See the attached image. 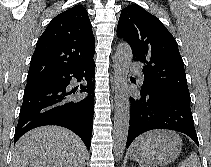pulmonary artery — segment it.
<instances>
[{
	"label": "pulmonary artery",
	"instance_id": "e3ab8cb5",
	"mask_svg": "<svg viewBox=\"0 0 211 167\" xmlns=\"http://www.w3.org/2000/svg\"><path fill=\"white\" fill-rule=\"evenodd\" d=\"M132 68H133L135 71H139V68L136 67L135 65H132Z\"/></svg>",
	"mask_w": 211,
	"mask_h": 167
}]
</instances>
